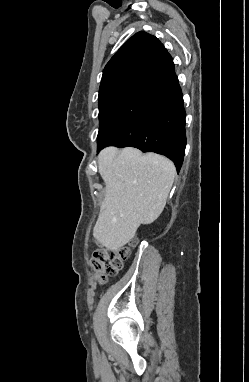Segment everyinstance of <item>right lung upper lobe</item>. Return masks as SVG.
I'll use <instances>...</instances> for the list:
<instances>
[{"mask_svg": "<svg viewBox=\"0 0 249 382\" xmlns=\"http://www.w3.org/2000/svg\"><path fill=\"white\" fill-rule=\"evenodd\" d=\"M178 81L172 57L144 31L129 38L103 70L99 108L124 99L153 101Z\"/></svg>", "mask_w": 249, "mask_h": 382, "instance_id": "1", "label": "right lung upper lobe"}]
</instances>
